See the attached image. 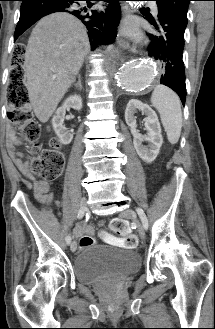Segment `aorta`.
<instances>
[{
    "label": "aorta",
    "mask_w": 215,
    "mask_h": 329,
    "mask_svg": "<svg viewBox=\"0 0 215 329\" xmlns=\"http://www.w3.org/2000/svg\"><path fill=\"white\" fill-rule=\"evenodd\" d=\"M113 75L125 91H142L153 82L156 67L150 62L121 60L115 65Z\"/></svg>",
    "instance_id": "obj_1"
}]
</instances>
